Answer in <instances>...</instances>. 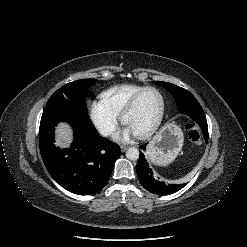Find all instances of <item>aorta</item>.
Segmentation results:
<instances>
[{
  "instance_id": "1",
  "label": "aorta",
  "mask_w": 247,
  "mask_h": 247,
  "mask_svg": "<svg viewBox=\"0 0 247 247\" xmlns=\"http://www.w3.org/2000/svg\"><path fill=\"white\" fill-rule=\"evenodd\" d=\"M126 157L129 160L136 161L139 158V150L135 147H131L126 151Z\"/></svg>"
}]
</instances>
